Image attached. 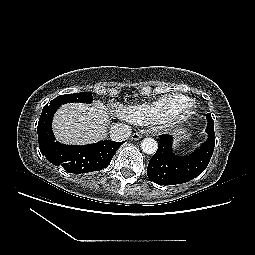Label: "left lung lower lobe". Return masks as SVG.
Masks as SVG:
<instances>
[{"label": "left lung lower lobe", "instance_id": "0a47b994", "mask_svg": "<svg viewBox=\"0 0 255 255\" xmlns=\"http://www.w3.org/2000/svg\"><path fill=\"white\" fill-rule=\"evenodd\" d=\"M206 118L208 139L189 156H177L173 153L171 135L159 136L158 150L147 168V176L153 182L160 185L181 184L194 179L206 169L215 146L214 121L210 113Z\"/></svg>", "mask_w": 255, "mask_h": 255}]
</instances>
